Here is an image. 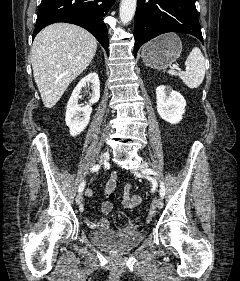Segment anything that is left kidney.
<instances>
[{
  "label": "left kidney",
  "mask_w": 240,
  "mask_h": 281,
  "mask_svg": "<svg viewBox=\"0 0 240 281\" xmlns=\"http://www.w3.org/2000/svg\"><path fill=\"white\" fill-rule=\"evenodd\" d=\"M157 111L159 116L171 123L177 124L182 120L186 101L184 97L171 87L160 85L156 88Z\"/></svg>",
  "instance_id": "obj_1"
}]
</instances>
